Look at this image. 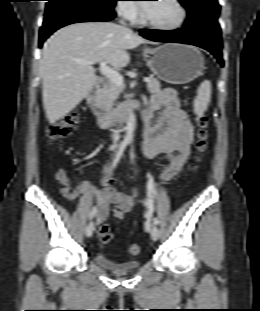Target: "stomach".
I'll list each match as a JSON object with an SVG mask.
<instances>
[{
    "label": "stomach",
    "instance_id": "1",
    "mask_svg": "<svg viewBox=\"0 0 260 311\" xmlns=\"http://www.w3.org/2000/svg\"><path fill=\"white\" fill-rule=\"evenodd\" d=\"M147 66L158 78L171 84H185L202 74L204 57L190 45L167 43L144 50Z\"/></svg>",
    "mask_w": 260,
    "mask_h": 311
}]
</instances>
